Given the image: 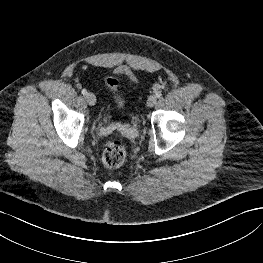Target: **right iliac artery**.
Segmentation results:
<instances>
[{
	"mask_svg": "<svg viewBox=\"0 0 263 263\" xmlns=\"http://www.w3.org/2000/svg\"><path fill=\"white\" fill-rule=\"evenodd\" d=\"M81 92H82L83 95H86V94H87V90H86V89H82Z\"/></svg>",
	"mask_w": 263,
	"mask_h": 263,
	"instance_id": "82829eb1",
	"label": "right iliac artery"
}]
</instances>
